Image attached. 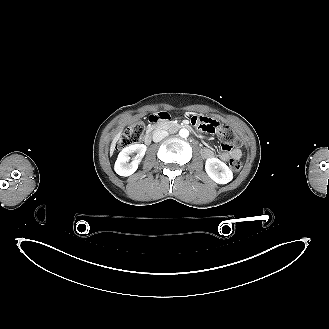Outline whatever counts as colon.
<instances>
[{
    "instance_id": "colon-1",
    "label": "colon",
    "mask_w": 329,
    "mask_h": 329,
    "mask_svg": "<svg viewBox=\"0 0 329 329\" xmlns=\"http://www.w3.org/2000/svg\"><path fill=\"white\" fill-rule=\"evenodd\" d=\"M162 115L168 117L167 112H162ZM144 133V125L136 124L128 127L121 135L119 141L117 142V150H122L128 148L132 145L139 143L142 139ZM213 133H216L220 136L222 141V147L224 149H231L234 146L240 144V139L236 133L230 128L220 124L219 128L216 129ZM229 166L234 171H239L242 167V161L239 157H231L229 161Z\"/></svg>"
}]
</instances>
